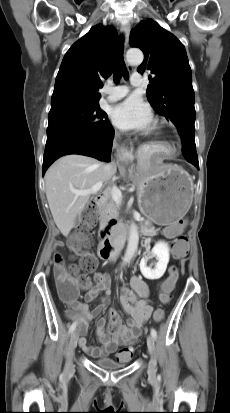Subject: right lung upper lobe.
<instances>
[{
    "label": "right lung upper lobe",
    "instance_id": "1",
    "mask_svg": "<svg viewBox=\"0 0 230 413\" xmlns=\"http://www.w3.org/2000/svg\"><path fill=\"white\" fill-rule=\"evenodd\" d=\"M117 32L98 24L65 54L56 77L51 109L69 105H99L102 80L112 74Z\"/></svg>",
    "mask_w": 230,
    "mask_h": 413
}]
</instances>
